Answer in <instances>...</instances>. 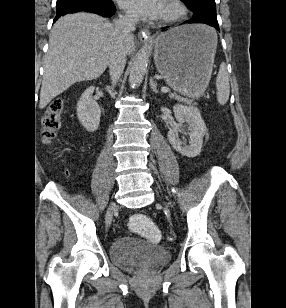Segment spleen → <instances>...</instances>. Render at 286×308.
<instances>
[{
  "instance_id": "1",
  "label": "spleen",
  "mask_w": 286,
  "mask_h": 308,
  "mask_svg": "<svg viewBox=\"0 0 286 308\" xmlns=\"http://www.w3.org/2000/svg\"><path fill=\"white\" fill-rule=\"evenodd\" d=\"M217 101L220 105L226 104L229 99L230 85L226 65L221 64L216 79Z\"/></svg>"
}]
</instances>
